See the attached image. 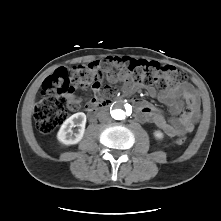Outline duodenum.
Listing matches in <instances>:
<instances>
[{"mask_svg":"<svg viewBox=\"0 0 221 221\" xmlns=\"http://www.w3.org/2000/svg\"><path fill=\"white\" fill-rule=\"evenodd\" d=\"M112 104V101L109 99L99 100L95 105L89 108L88 116L91 120L97 118V116L104 110L108 109Z\"/></svg>","mask_w":221,"mask_h":221,"instance_id":"1","label":"duodenum"}]
</instances>
